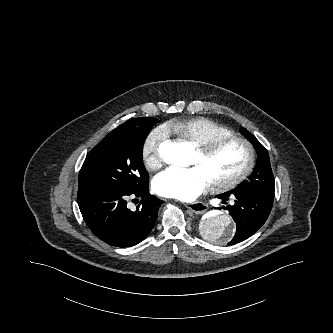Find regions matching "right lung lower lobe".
Segmentation results:
<instances>
[{
  "instance_id": "98d812e1",
  "label": "right lung lower lobe",
  "mask_w": 333,
  "mask_h": 333,
  "mask_svg": "<svg viewBox=\"0 0 333 333\" xmlns=\"http://www.w3.org/2000/svg\"><path fill=\"white\" fill-rule=\"evenodd\" d=\"M148 180L134 190L96 187L78 191V205L84 221L99 239L111 246L131 247L152 230L162 201L149 194ZM130 195L142 200L136 211L127 207Z\"/></svg>"
}]
</instances>
